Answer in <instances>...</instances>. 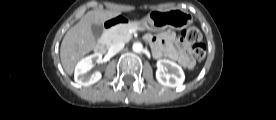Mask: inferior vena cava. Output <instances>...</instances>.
<instances>
[{
    "label": "inferior vena cava",
    "instance_id": "inferior-vena-cava-1",
    "mask_svg": "<svg viewBox=\"0 0 276 120\" xmlns=\"http://www.w3.org/2000/svg\"><path fill=\"white\" fill-rule=\"evenodd\" d=\"M123 48H124V43L118 42V43L111 45V47L109 48V52L112 54H116L119 51H121Z\"/></svg>",
    "mask_w": 276,
    "mask_h": 120
}]
</instances>
